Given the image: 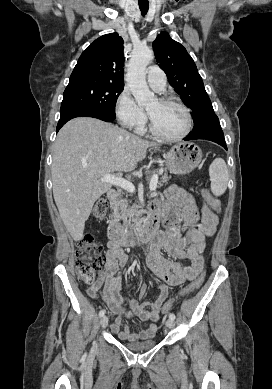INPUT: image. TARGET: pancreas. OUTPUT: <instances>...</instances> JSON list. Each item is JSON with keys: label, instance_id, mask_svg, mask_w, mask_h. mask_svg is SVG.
Returning a JSON list of instances; mask_svg holds the SVG:
<instances>
[{"label": "pancreas", "instance_id": "1", "mask_svg": "<svg viewBox=\"0 0 272 389\" xmlns=\"http://www.w3.org/2000/svg\"><path fill=\"white\" fill-rule=\"evenodd\" d=\"M159 174H162L159 185L163 186L164 183L166 184L168 182L170 177L167 175L166 170H160ZM111 209L113 210L111 217H114L116 222H119L120 220L126 221L128 217L131 218L134 216L138 209V205L134 204L130 206L128 199L119 195L118 198L111 203Z\"/></svg>", "mask_w": 272, "mask_h": 389}]
</instances>
